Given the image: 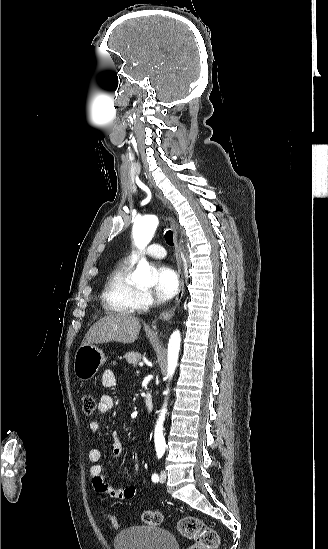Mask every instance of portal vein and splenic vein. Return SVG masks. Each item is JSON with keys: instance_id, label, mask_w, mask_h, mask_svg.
I'll return each instance as SVG.
<instances>
[{"instance_id": "1", "label": "portal vein and splenic vein", "mask_w": 328, "mask_h": 549, "mask_svg": "<svg viewBox=\"0 0 328 549\" xmlns=\"http://www.w3.org/2000/svg\"><path fill=\"white\" fill-rule=\"evenodd\" d=\"M139 367H143L142 361H139Z\"/></svg>"}]
</instances>
